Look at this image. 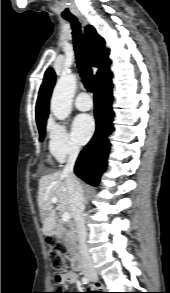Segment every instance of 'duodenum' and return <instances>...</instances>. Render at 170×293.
<instances>
[{
  "label": "duodenum",
  "mask_w": 170,
  "mask_h": 293,
  "mask_svg": "<svg viewBox=\"0 0 170 293\" xmlns=\"http://www.w3.org/2000/svg\"><path fill=\"white\" fill-rule=\"evenodd\" d=\"M42 230L45 236H51L55 233V228L53 225L45 226L42 228ZM71 263L74 270L80 271L82 269L81 257L78 253L74 254Z\"/></svg>",
  "instance_id": "1"
}]
</instances>
